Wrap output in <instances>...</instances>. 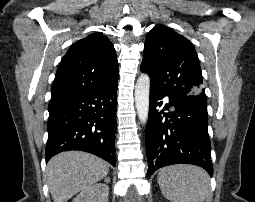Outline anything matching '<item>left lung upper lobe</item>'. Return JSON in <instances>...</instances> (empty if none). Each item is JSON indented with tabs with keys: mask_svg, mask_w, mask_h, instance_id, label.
Wrapping results in <instances>:
<instances>
[{
	"mask_svg": "<svg viewBox=\"0 0 255 202\" xmlns=\"http://www.w3.org/2000/svg\"><path fill=\"white\" fill-rule=\"evenodd\" d=\"M141 71L150 76L151 88L207 104L194 46L173 29L158 24L148 32Z\"/></svg>",
	"mask_w": 255,
	"mask_h": 202,
	"instance_id": "obj_1",
	"label": "left lung upper lobe"
}]
</instances>
